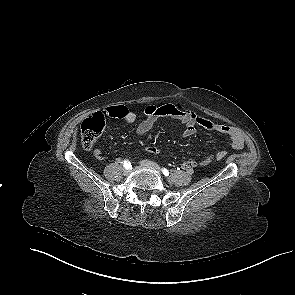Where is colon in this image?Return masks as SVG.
I'll list each match as a JSON object with an SVG mask.
<instances>
[{"mask_svg": "<svg viewBox=\"0 0 295 295\" xmlns=\"http://www.w3.org/2000/svg\"><path fill=\"white\" fill-rule=\"evenodd\" d=\"M104 117L101 114H95L92 117L86 119L81 125V141L85 149L89 150L94 145L96 139L104 128ZM150 155L158 156L159 150L155 147H149L147 149ZM226 156V152H220L217 157L223 159Z\"/></svg>", "mask_w": 295, "mask_h": 295, "instance_id": "5ec220e1", "label": "colon"}]
</instances>
